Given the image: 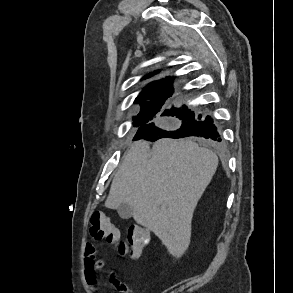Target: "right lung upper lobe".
<instances>
[{"label": "right lung upper lobe", "instance_id": "1", "mask_svg": "<svg viewBox=\"0 0 293 293\" xmlns=\"http://www.w3.org/2000/svg\"><path fill=\"white\" fill-rule=\"evenodd\" d=\"M157 73V71L155 72ZM154 73L146 75L144 78H149ZM173 94L172 79L167 77L166 79L158 80L147 85L142 92L136 98V102H143L148 97L152 100L146 104H142L141 107L147 106L148 110L157 109V113L160 111L161 107L164 105L167 98L171 97Z\"/></svg>", "mask_w": 293, "mask_h": 293}]
</instances>
